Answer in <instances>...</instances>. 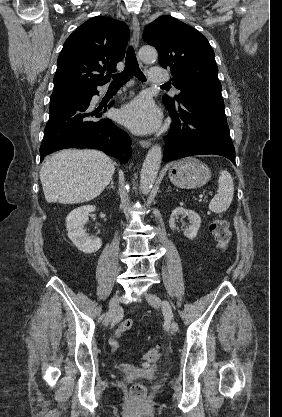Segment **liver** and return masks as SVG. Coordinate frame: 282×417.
Returning <instances> with one entry per match:
<instances>
[{
    "label": "liver",
    "instance_id": "liver-1",
    "mask_svg": "<svg viewBox=\"0 0 282 417\" xmlns=\"http://www.w3.org/2000/svg\"><path fill=\"white\" fill-rule=\"evenodd\" d=\"M115 162L100 150L64 148L43 162L40 180L47 202H87L109 184Z\"/></svg>",
    "mask_w": 282,
    "mask_h": 417
}]
</instances>
